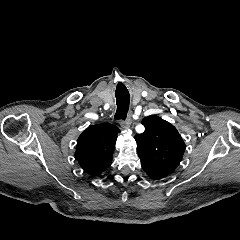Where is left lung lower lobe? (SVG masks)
<instances>
[{
  "label": "left lung lower lobe",
  "instance_id": "left-lung-lower-lobe-1",
  "mask_svg": "<svg viewBox=\"0 0 240 240\" xmlns=\"http://www.w3.org/2000/svg\"><path fill=\"white\" fill-rule=\"evenodd\" d=\"M150 178H152V179H154V180H159V179H161V178H159V177H157V176H155V175H148Z\"/></svg>",
  "mask_w": 240,
  "mask_h": 240
}]
</instances>
